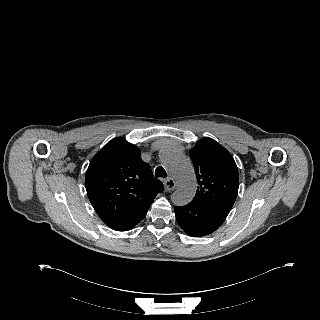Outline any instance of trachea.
<instances>
[{"mask_svg": "<svg viewBox=\"0 0 320 320\" xmlns=\"http://www.w3.org/2000/svg\"><path fill=\"white\" fill-rule=\"evenodd\" d=\"M155 177L159 178V177H167V173L166 171L163 169V167H157L155 170Z\"/></svg>", "mask_w": 320, "mask_h": 320, "instance_id": "trachea-1", "label": "trachea"}]
</instances>
